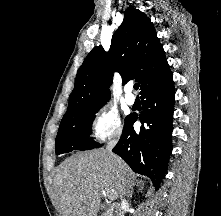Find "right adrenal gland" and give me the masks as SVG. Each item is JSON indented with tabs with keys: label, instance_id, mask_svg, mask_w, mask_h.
<instances>
[{
	"label": "right adrenal gland",
	"instance_id": "2a0ac1e0",
	"mask_svg": "<svg viewBox=\"0 0 221 216\" xmlns=\"http://www.w3.org/2000/svg\"><path fill=\"white\" fill-rule=\"evenodd\" d=\"M136 187H137L140 191H142V190L144 189V184H143L142 182H137ZM133 193H134V189H133V187H132L131 190L128 191L127 197H128V198H132Z\"/></svg>",
	"mask_w": 221,
	"mask_h": 216
}]
</instances>
